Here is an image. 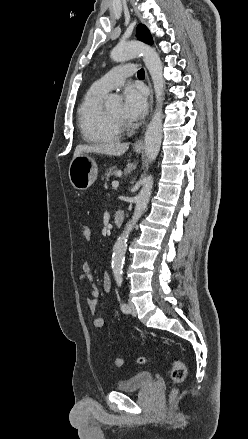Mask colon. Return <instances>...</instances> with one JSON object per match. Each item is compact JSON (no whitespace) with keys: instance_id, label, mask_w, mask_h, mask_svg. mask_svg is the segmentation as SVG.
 <instances>
[{"instance_id":"5ec220e1","label":"colon","mask_w":248,"mask_h":439,"mask_svg":"<svg viewBox=\"0 0 248 439\" xmlns=\"http://www.w3.org/2000/svg\"><path fill=\"white\" fill-rule=\"evenodd\" d=\"M82 235L86 240H90L92 238V231L89 226L84 225L82 227ZM154 359H155L154 356H148V357L140 356L137 358V362L139 364H147L152 362ZM123 364H124V360L122 358H116L114 360V365L116 367H121ZM186 375H187V369L185 364L179 360L173 361L171 365V372H170V377L173 384L177 386L183 383L185 381ZM176 394H177V388L174 387L171 391V397L172 398L175 397Z\"/></svg>"}]
</instances>
